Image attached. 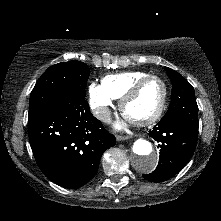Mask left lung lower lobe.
<instances>
[{
	"mask_svg": "<svg viewBox=\"0 0 221 221\" xmlns=\"http://www.w3.org/2000/svg\"><path fill=\"white\" fill-rule=\"evenodd\" d=\"M149 136L159 143L160 156L156 169L143 177L152 182H163L181 171L193 155L198 128L180 118L161 119L149 131Z\"/></svg>",
	"mask_w": 221,
	"mask_h": 221,
	"instance_id": "1",
	"label": "left lung lower lobe"
}]
</instances>
